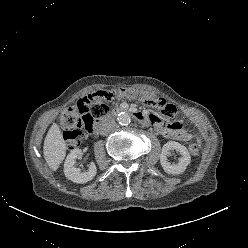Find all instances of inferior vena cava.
Returning a JSON list of instances; mask_svg holds the SVG:
<instances>
[{
  "instance_id": "obj_1",
  "label": "inferior vena cava",
  "mask_w": 248,
  "mask_h": 248,
  "mask_svg": "<svg viewBox=\"0 0 248 248\" xmlns=\"http://www.w3.org/2000/svg\"><path fill=\"white\" fill-rule=\"evenodd\" d=\"M115 127V121L112 119L104 121L100 126V133L105 135Z\"/></svg>"
}]
</instances>
